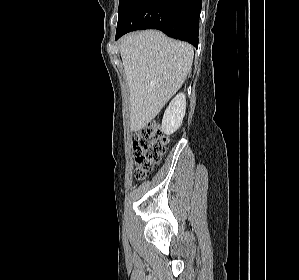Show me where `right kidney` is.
Returning a JSON list of instances; mask_svg holds the SVG:
<instances>
[{
	"label": "right kidney",
	"mask_w": 299,
	"mask_h": 280,
	"mask_svg": "<svg viewBox=\"0 0 299 280\" xmlns=\"http://www.w3.org/2000/svg\"><path fill=\"white\" fill-rule=\"evenodd\" d=\"M186 112V97L179 93L167 107L162 119V131L171 135L177 131L183 121Z\"/></svg>",
	"instance_id": "obj_1"
}]
</instances>
